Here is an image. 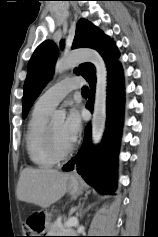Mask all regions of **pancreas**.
Masks as SVG:
<instances>
[{"instance_id":"pancreas-1","label":"pancreas","mask_w":158,"mask_h":237,"mask_svg":"<svg viewBox=\"0 0 158 237\" xmlns=\"http://www.w3.org/2000/svg\"><path fill=\"white\" fill-rule=\"evenodd\" d=\"M64 223L61 220H56L53 223H47L46 231L49 236H64L75 233L73 228L64 226L66 218L63 219Z\"/></svg>"}]
</instances>
